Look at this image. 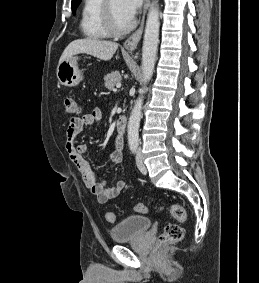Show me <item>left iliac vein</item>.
Here are the masks:
<instances>
[{"instance_id": "obj_1", "label": "left iliac vein", "mask_w": 259, "mask_h": 283, "mask_svg": "<svg viewBox=\"0 0 259 283\" xmlns=\"http://www.w3.org/2000/svg\"><path fill=\"white\" fill-rule=\"evenodd\" d=\"M136 164H137L138 169H139L143 174H146V173H147V169H146V166H145V164H144V162H143V158H142L141 152H138V153H137Z\"/></svg>"}]
</instances>
